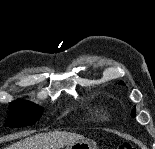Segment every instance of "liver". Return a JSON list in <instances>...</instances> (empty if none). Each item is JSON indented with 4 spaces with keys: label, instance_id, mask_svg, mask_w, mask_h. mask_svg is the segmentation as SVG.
Listing matches in <instances>:
<instances>
[{
    "label": "liver",
    "instance_id": "6515ba94",
    "mask_svg": "<svg viewBox=\"0 0 155 149\" xmlns=\"http://www.w3.org/2000/svg\"><path fill=\"white\" fill-rule=\"evenodd\" d=\"M83 138L82 135L77 133L53 131L26 137L5 149H61Z\"/></svg>",
    "mask_w": 155,
    "mask_h": 149
}]
</instances>
